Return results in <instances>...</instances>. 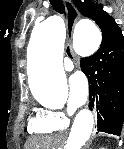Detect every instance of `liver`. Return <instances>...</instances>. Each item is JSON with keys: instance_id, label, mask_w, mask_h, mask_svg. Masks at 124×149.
<instances>
[{"instance_id": "1", "label": "liver", "mask_w": 124, "mask_h": 149, "mask_svg": "<svg viewBox=\"0 0 124 149\" xmlns=\"http://www.w3.org/2000/svg\"><path fill=\"white\" fill-rule=\"evenodd\" d=\"M52 138L50 137H32L25 146V149H50Z\"/></svg>"}]
</instances>
